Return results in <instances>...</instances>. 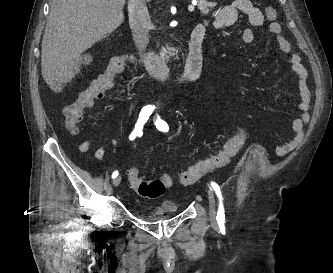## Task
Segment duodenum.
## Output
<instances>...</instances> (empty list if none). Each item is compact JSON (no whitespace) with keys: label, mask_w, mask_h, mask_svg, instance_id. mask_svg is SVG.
I'll return each instance as SVG.
<instances>
[{"label":"duodenum","mask_w":333,"mask_h":273,"mask_svg":"<svg viewBox=\"0 0 333 273\" xmlns=\"http://www.w3.org/2000/svg\"><path fill=\"white\" fill-rule=\"evenodd\" d=\"M205 29L198 24L193 29L190 41L188 59L183 70L172 74L166 61L151 51L144 37H137L136 48L152 75L160 82H169L175 85H185L196 81L202 74V45ZM118 58H115L116 60Z\"/></svg>","instance_id":"1"}]
</instances>
